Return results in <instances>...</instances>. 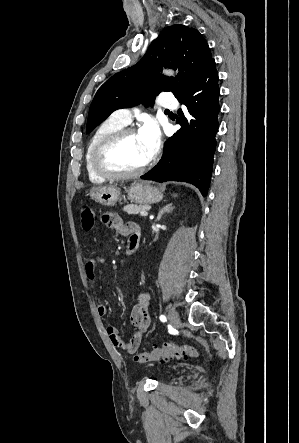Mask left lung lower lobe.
Here are the masks:
<instances>
[{
  "label": "left lung lower lobe",
  "instance_id": "0a47b994",
  "mask_svg": "<svg viewBox=\"0 0 299 443\" xmlns=\"http://www.w3.org/2000/svg\"><path fill=\"white\" fill-rule=\"evenodd\" d=\"M218 74L212 60L203 73L179 97L185 105L179 110L181 128L164 144L159 163L141 179L185 181L206 196L216 148L219 106Z\"/></svg>",
  "mask_w": 299,
  "mask_h": 443
}]
</instances>
